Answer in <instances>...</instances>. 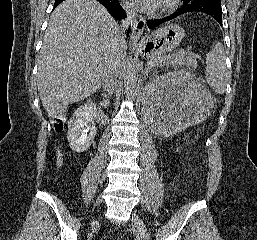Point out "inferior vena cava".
<instances>
[{
  "instance_id": "inferior-vena-cava-1",
  "label": "inferior vena cava",
  "mask_w": 257,
  "mask_h": 240,
  "mask_svg": "<svg viewBox=\"0 0 257 240\" xmlns=\"http://www.w3.org/2000/svg\"><path fill=\"white\" fill-rule=\"evenodd\" d=\"M124 9L127 13L126 19L122 22L121 27H119L117 41L114 44L113 56L111 59V64L103 80V91L104 96L111 95L117 85L118 76L120 73L121 65V54L120 46L125 43V31L129 25H133L136 22L137 9L133 5L125 4Z\"/></svg>"
}]
</instances>
